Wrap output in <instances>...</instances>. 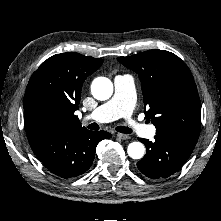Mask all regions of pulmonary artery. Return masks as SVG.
<instances>
[{"mask_svg": "<svg viewBox=\"0 0 221 221\" xmlns=\"http://www.w3.org/2000/svg\"><path fill=\"white\" fill-rule=\"evenodd\" d=\"M115 92L106 103L97 107L84 121L109 122L118 118H126L129 127L138 135L152 138L156 129L153 125H145L131 118L135 104L134 79L130 75H119L114 79Z\"/></svg>", "mask_w": 221, "mask_h": 221, "instance_id": "1", "label": "pulmonary artery"}]
</instances>
